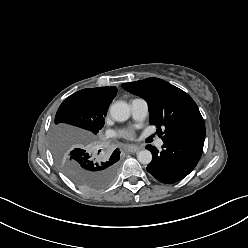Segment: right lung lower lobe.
Listing matches in <instances>:
<instances>
[{"label":"right lung lower lobe","instance_id":"obj_1","mask_svg":"<svg viewBox=\"0 0 248 248\" xmlns=\"http://www.w3.org/2000/svg\"><path fill=\"white\" fill-rule=\"evenodd\" d=\"M114 155L118 156L120 158V151L119 149H116L114 152H113Z\"/></svg>","mask_w":248,"mask_h":248}]
</instances>
